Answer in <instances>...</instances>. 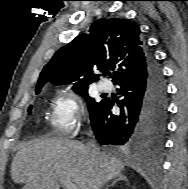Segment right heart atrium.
<instances>
[{
  "label": "right heart atrium",
  "mask_w": 188,
  "mask_h": 189,
  "mask_svg": "<svg viewBox=\"0 0 188 189\" xmlns=\"http://www.w3.org/2000/svg\"><path fill=\"white\" fill-rule=\"evenodd\" d=\"M83 115L84 107L73 94H60L54 100L51 121L57 129L70 131L78 127Z\"/></svg>",
  "instance_id": "1"
}]
</instances>
